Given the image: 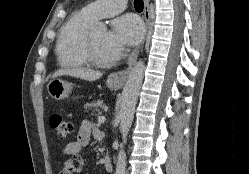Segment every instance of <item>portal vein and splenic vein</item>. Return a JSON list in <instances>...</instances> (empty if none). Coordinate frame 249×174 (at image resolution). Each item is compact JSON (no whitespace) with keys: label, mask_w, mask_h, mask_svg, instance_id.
<instances>
[{"label":"portal vein and splenic vein","mask_w":249,"mask_h":174,"mask_svg":"<svg viewBox=\"0 0 249 174\" xmlns=\"http://www.w3.org/2000/svg\"><path fill=\"white\" fill-rule=\"evenodd\" d=\"M106 120L105 116H99L98 117V123L101 124V123H104Z\"/></svg>","instance_id":"18ae733b"}]
</instances>
